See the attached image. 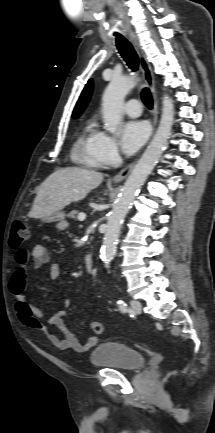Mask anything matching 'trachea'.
Masks as SVG:
<instances>
[{"label":"trachea","instance_id":"trachea-1","mask_svg":"<svg viewBox=\"0 0 215 433\" xmlns=\"http://www.w3.org/2000/svg\"><path fill=\"white\" fill-rule=\"evenodd\" d=\"M116 46L117 49L124 59V61L127 63L129 68H131L133 71H137L139 66V58L134 50L132 44L127 41L123 36L117 35L116 36ZM141 98L143 103L149 108L152 109L153 107V98L151 95V92L148 88H144L141 92Z\"/></svg>","mask_w":215,"mask_h":433}]
</instances>
